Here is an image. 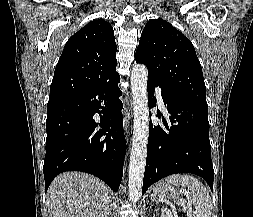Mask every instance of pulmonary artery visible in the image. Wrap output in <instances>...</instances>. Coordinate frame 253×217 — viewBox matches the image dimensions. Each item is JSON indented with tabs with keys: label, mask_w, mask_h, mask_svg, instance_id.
<instances>
[{
	"label": "pulmonary artery",
	"mask_w": 253,
	"mask_h": 217,
	"mask_svg": "<svg viewBox=\"0 0 253 217\" xmlns=\"http://www.w3.org/2000/svg\"><path fill=\"white\" fill-rule=\"evenodd\" d=\"M155 93H156L159 105L161 106V108H164V101H163V98H162V90H161V88L157 87L156 90H155Z\"/></svg>",
	"instance_id": "obj_1"
}]
</instances>
